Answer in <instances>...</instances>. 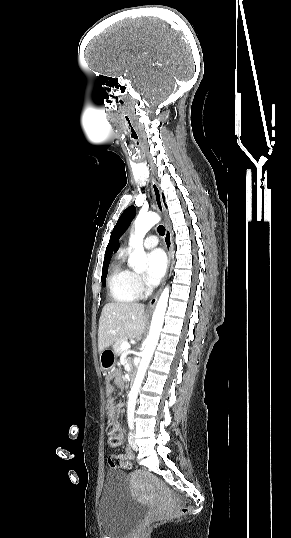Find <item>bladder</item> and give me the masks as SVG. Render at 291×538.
<instances>
[{
  "mask_svg": "<svg viewBox=\"0 0 291 538\" xmlns=\"http://www.w3.org/2000/svg\"><path fill=\"white\" fill-rule=\"evenodd\" d=\"M147 511L132 497L126 475L108 471L98 505L99 525L107 538H126Z\"/></svg>",
  "mask_w": 291,
  "mask_h": 538,
  "instance_id": "bladder-1",
  "label": "bladder"
}]
</instances>
